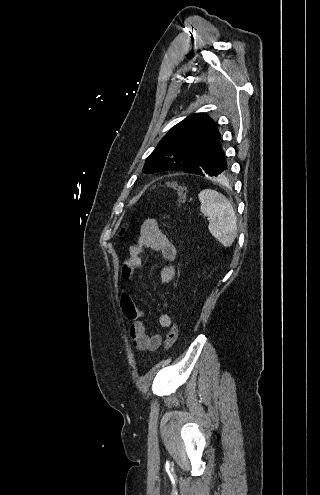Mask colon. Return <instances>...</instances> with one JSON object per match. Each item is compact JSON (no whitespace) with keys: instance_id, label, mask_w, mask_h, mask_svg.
<instances>
[{"instance_id":"obj_1","label":"colon","mask_w":320,"mask_h":495,"mask_svg":"<svg viewBox=\"0 0 320 495\" xmlns=\"http://www.w3.org/2000/svg\"><path fill=\"white\" fill-rule=\"evenodd\" d=\"M160 187L170 189L171 191H173L176 194L180 205L186 202L188 196V189L185 185L177 181H169V182H162ZM178 335H179V326L175 322L170 326V329L166 335V340H165L166 351L173 347V345L177 341Z\"/></svg>"}]
</instances>
